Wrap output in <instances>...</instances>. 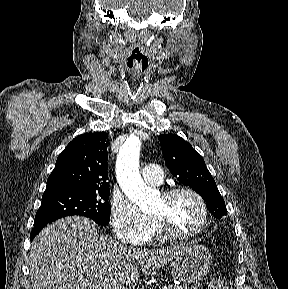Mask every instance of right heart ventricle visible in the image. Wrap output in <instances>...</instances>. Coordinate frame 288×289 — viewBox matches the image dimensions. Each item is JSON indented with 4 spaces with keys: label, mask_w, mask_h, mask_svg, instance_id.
<instances>
[{
    "label": "right heart ventricle",
    "mask_w": 288,
    "mask_h": 289,
    "mask_svg": "<svg viewBox=\"0 0 288 289\" xmlns=\"http://www.w3.org/2000/svg\"><path fill=\"white\" fill-rule=\"evenodd\" d=\"M156 232H157V230H156V228H155V225L153 224V231H152L151 236H152L154 233H156ZM151 236H150V237H151ZM149 239H150V238H149ZM149 239H148V240H149Z\"/></svg>",
    "instance_id": "1"
}]
</instances>
